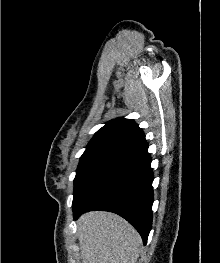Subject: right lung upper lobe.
Returning a JSON list of instances; mask_svg holds the SVG:
<instances>
[{"label": "right lung upper lobe", "mask_w": 220, "mask_h": 263, "mask_svg": "<svg viewBox=\"0 0 220 263\" xmlns=\"http://www.w3.org/2000/svg\"><path fill=\"white\" fill-rule=\"evenodd\" d=\"M145 140L139 126L131 119L117 118L98 130L85 152L112 151L119 153Z\"/></svg>", "instance_id": "obj_1"}]
</instances>
